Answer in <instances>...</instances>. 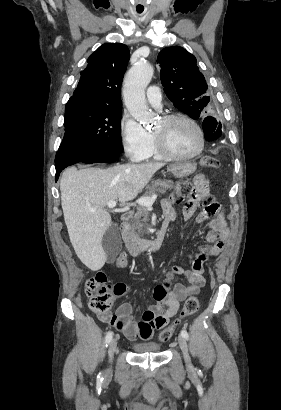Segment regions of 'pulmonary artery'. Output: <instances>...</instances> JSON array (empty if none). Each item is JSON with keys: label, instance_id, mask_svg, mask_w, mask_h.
Masks as SVG:
<instances>
[{"label": "pulmonary artery", "instance_id": "1", "mask_svg": "<svg viewBox=\"0 0 281 410\" xmlns=\"http://www.w3.org/2000/svg\"><path fill=\"white\" fill-rule=\"evenodd\" d=\"M148 102L154 108L160 110L162 107V94L158 86H150L146 92Z\"/></svg>", "mask_w": 281, "mask_h": 410}]
</instances>
